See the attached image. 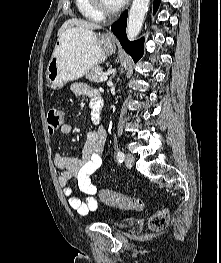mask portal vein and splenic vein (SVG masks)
<instances>
[{
    "mask_svg": "<svg viewBox=\"0 0 221 263\" xmlns=\"http://www.w3.org/2000/svg\"><path fill=\"white\" fill-rule=\"evenodd\" d=\"M108 79V75L106 74H102L100 77H99V80L100 81H106Z\"/></svg>",
    "mask_w": 221,
    "mask_h": 263,
    "instance_id": "1",
    "label": "portal vein and splenic vein"
}]
</instances>
